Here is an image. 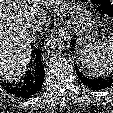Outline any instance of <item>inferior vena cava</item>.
Wrapping results in <instances>:
<instances>
[{
    "label": "inferior vena cava",
    "mask_w": 113,
    "mask_h": 113,
    "mask_svg": "<svg viewBox=\"0 0 113 113\" xmlns=\"http://www.w3.org/2000/svg\"><path fill=\"white\" fill-rule=\"evenodd\" d=\"M46 26V20L43 16L35 18L30 25V32L34 37V34L41 32Z\"/></svg>",
    "instance_id": "obj_1"
}]
</instances>
